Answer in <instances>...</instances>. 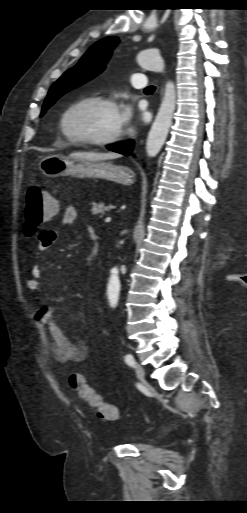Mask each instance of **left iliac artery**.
<instances>
[{"label": "left iliac artery", "instance_id": "1", "mask_svg": "<svg viewBox=\"0 0 247 513\" xmlns=\"http://www.w3.org/2000/svg\"><path fill=\"white\" fill-rule=\"evenodd\" d=\"M125 362L130 365V366H134L135 365V360H134V357L131 355V354H127L125 356Z\"/></svg>", "mask_w": 247, "mask_h": 513}]
</instances>
